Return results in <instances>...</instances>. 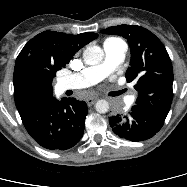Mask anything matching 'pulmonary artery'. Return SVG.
<instances>
[{"instance_id": "1", "label": "pulmonary artery", "mask_w": 187, "mask_h": 187, "mask_svg": "<svg viewBox=\"0 0 187 187\" xmlns=\"http://www.w3.org/2000/svg\"><path fill=\"white\" fill-rule=\"evenodd\" d=\"M104 51L105 61L102 64L63 78L59 82L61 90L85 88L98 83L124 61L127 46L123 41L108 42L104 44Z\"/></svg>"}]
</instances>
